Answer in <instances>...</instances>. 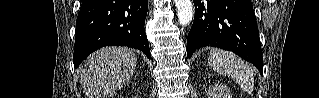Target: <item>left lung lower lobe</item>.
I'll return each instance as SVG.
<instances>
[{
	"instance_id": "obj_1",
	"label": "left lung lower lobe",
	"mask_w": 319,
	"mask_h": 98,
	"mask_svg": "<svg viewBox=\"0 0 319 98\" xmlns=\"http://www.w3.org/2000/svg\"><path fill=\"white\" fill-rule=\"evenodd\" d=\"M195 17L187 58L204 46L219 47L253 63L263 73L259 32L251 0H193Z\"/></svg>"
}]
</instances>
